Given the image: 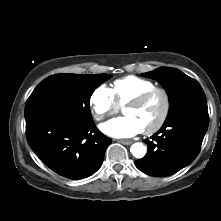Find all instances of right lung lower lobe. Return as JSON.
Instances as JSON below:
<instances>
[{
  "label": "right lung lower lobe",
  "instance_id": "98d812e1",
  "mask_svg": "<svg viewBox=\"0 0 221 221\" xmlns=\"http://www.w3.org/2000/svg\"><path fill=\"white\" fill-rule=\"evenodd\" d=\"M29 146L51 170L69 179H83L101 167L112 140L92 123L83 124L53 110L26 118Z\"/></svg>",
  "mask_w": 221,
  "mask_h": 221
}]
</instances>
